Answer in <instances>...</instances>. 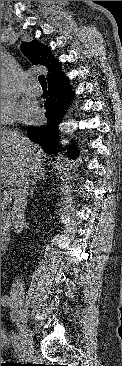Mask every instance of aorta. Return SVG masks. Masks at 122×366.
Listing matches in <instances>:
<instances>
[{
  "instance_id": "1",
  "label": "aorta",
  "mask_w": 122,
  "mask_h": 366,
  "mask_svg": "<svg viewBox=\"0 0 122 366\" xmlns=\"http://www.w3.org/2000/svg\"><path fill=\"white\" fill-rule=\"evenodd\" d=\"M10 87L8 74L4 68H1V95L5 94Z\"/></svg>"
}]
</instances>
